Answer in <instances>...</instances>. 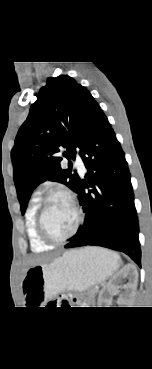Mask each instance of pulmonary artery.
Returning a JSON list of instances; mask_svg holds the SVG:
<instances>
[{"instance_id": "obj_1", "label": "pulmonary artery", "mask_w": 152, "mask_h": 369, "mask_svg": "<svg viewBox=\"0 0 152 369\" xmlns=\"http://www.w3.org/2000/svg\"><path fill=\"white\" fill-rule=\"evenodd\" d=\"M75 166L77 167V169L79 170L80 173H85L86 171V168H85V165H84V162L82 160V158L79 156V155H76L75 157Z\"/></svg>"}]
</instances>
